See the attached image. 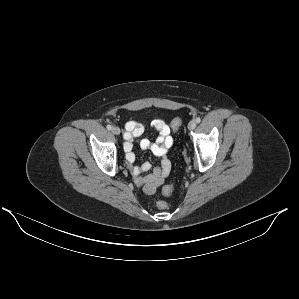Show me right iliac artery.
<instances>
[{"label": "right iliac artery", "instance_id": "82829eb1", "mask_svg": "<svg viewBox=\"0 0 299 299\" xmlns=\"http://www.w3.org/2000/svg\"><path fill=\"white\" fill-rule=\"evenodd\" d=\"M107 129H108V130H111V129H112V126H111V125H107Z\"/></svg>", "mask_w": 299, "mask_h": 299}]
</instances>
